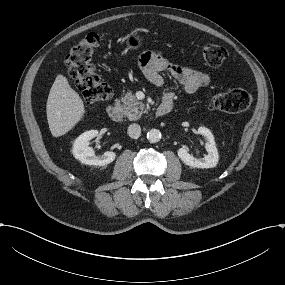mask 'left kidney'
Returning <instances> with one entry per match:
<instances>
[{
    "label": "left kidney",
    "instance_id": "left-kidney-1",
    "mask_svg": "<svg viewBox=\"0 0 285 285\" xmlns=\"http://www.w3.org/2000/svg\"><path fill=\"white\" fill-rule=\"evenodd\" d=\"M198 133L205 136L207 139L205 148L208 154L205 155L202 159H196L188 153L187 149L180 148L178 150V156L188 166L196 168H213L217 165L219 160L214 136L206 127H199Z\"/></svg>",
    "mask_w": 285,
    "mask_h": 285
}]
</instances>
